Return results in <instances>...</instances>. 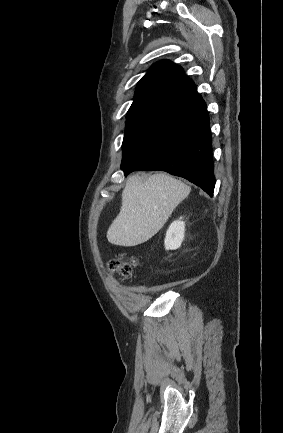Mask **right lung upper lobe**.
Instances as JSON below:
<instances>
[{
    "label": "right lung upper lobe",
    "instance_id": "cb5924a9",
    "mask_svg": "<svg viewBox=\"0 0 283 433\" xmlns=\"http://www.w3.org/2000/svg\"><path fill=\"white\" fill-rule=\"evenodd\" d=\"M198 95L193 81L181 67L165 60L155 63L137 84L129 110L164 113L170 108Z\"/></svg>",
    "mask_w": 283,
    "mask_h": 433
}]
</instances>
